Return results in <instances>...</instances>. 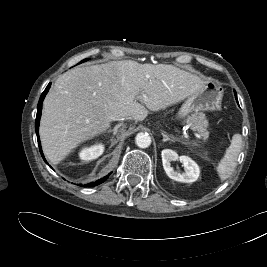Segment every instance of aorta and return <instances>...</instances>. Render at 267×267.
I'll use <instances>...</instances> for the list:
<instances>
[{"instance_id":"aorta-1","label":"aorta","mask_w":267,"mask_h":267,"mask_svg":"<svg viewBox=\"0 0 267 267\" xmlns=\"http://www.w3.org/2000/svg\"><path fill=\"white\" fill-rule=\"evenodd\" d=\"M135 143L139 148H147L151 144V137L148 133L140 132L135 137Z\"/></svg>"}]
</instances>
